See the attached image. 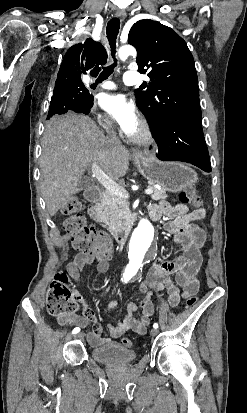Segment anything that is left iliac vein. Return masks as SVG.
Returning a JSON list of instances; mask_svg holds the SVG:
<instances>
[{"mask_svg": "<svg viewBox=\"0 0 247 413\" xmlns=\"http://www.w3.org/2000/svg\"><path fill=\"white\" fill-rule=\"evenodd\" d=\"M158 333H159L158 329H152V330L150 331V334H151L152 336H156Z\"/></svg>", "mask_w": 247, "mask_h": 413, "instance_id": "obj_1", "label": "left iliac vein"}]
</instances>
